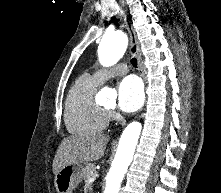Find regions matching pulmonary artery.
Wrapping results in <instances>:
<instances>
[{"instance_id":"1","label":"pulmonary artery","mask_w":221,"mask_h":193,"mask_svg":"<svg viewBox=\"0 0 221 193\" xmlns=\"http://www.w3.org/2000/svg\"><path fill=\"white\" fill-rule=\"evenodd\" d=\"M128 72V66L126 64H119L111 69H98L92 75V78L101 84L106 79L114 75H124Z\"/></svg>"}]
</instances>
